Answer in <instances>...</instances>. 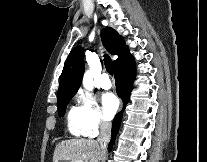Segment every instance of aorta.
Wrapping results in <instances>:
<instances>
[{
	"label": "aorta",
	"instance_id": "762f6f07",
	"mask_svg": "<svg viewBox=\"0 0 207 162\" xmlns=\"http://www.w3.org/2000/svg\"><path fill=\"white\" fill-rule=\"evenodd\" d=\"M83 86L85 89L91 91L93 89V81H92V74L91 71H86L83 76Z\"/></svg>",
	"mask_w": 207,
	"mask_h": 162
}]
</instances>
